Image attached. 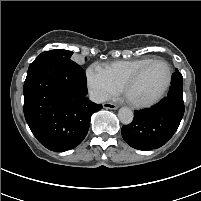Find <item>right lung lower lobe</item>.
<instances>
[{
	"label": "right lung lower lobe",
	"instance_id": "98d812e1",
	"mask_svg": "<svg viewBox=\"0 0 201 201\" xmlns=\"http://www.w3.org/2000/svg\"><path fill=\"white\" fill-rule=\"evenodd\" d=\"M84 70L73 61L36 59L24 83V115L37 140L47 149L63 152L87 135L91 115L102 105L87 97Z\"/></svg>",
	"mask_w": 201,
	"mask_h": 201
}]
</instances>
